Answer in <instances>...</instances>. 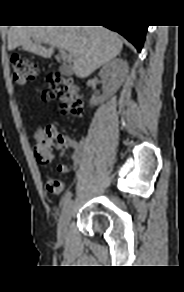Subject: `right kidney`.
Listing matches in <instances>:
<instances>
[{"mask_svg": "<svg viewBox=\"0 0 184 292\" xmlns=\"http://www.w3.org/2000/svg\"><path fill=\"white\" fill-rule=\"evenodd\" d=\"M128 71V63L124 59L115 58L108 61L99 72L103 84V95L92 99L91 105H97L116 93L124 82Z\"/></svg>", "mask_w": 184, "mask_h": 292, "instance_id": "1", "label": "right kidney"}]
</instances>
